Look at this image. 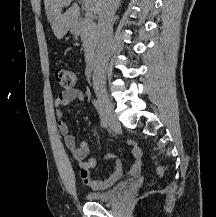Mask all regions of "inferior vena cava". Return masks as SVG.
<instances>
[{
  "instance_id": "1",
  "label": "inferior vena cava",
  "mask_w": 216,
  "mask_h": 217,
  "mask_svg": "<svg viewBox=\"0 0 216 217\" xmlns=\"http://www.w3.org/2000/svg\"><path fill=\"white\" fill-rule=\"evenodd\" d=\"M118 0H103L98 19V42L94 62L93 86L103 88L106 84L108 58L113 36L114 16Z\"/></svg>"
}]
</instances>
